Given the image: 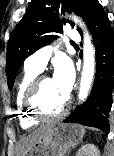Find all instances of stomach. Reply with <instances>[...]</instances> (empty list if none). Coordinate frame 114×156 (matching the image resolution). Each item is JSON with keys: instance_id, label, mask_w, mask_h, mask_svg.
I'll return each instance as SVG.
<instances>
[{"instance_id": "obj_1", "label": "stomach", "mask_w": 114, "mask_h": 156, "mask_svg": "<svg viewBox=\"0 0 114 156\" xmlns=\"http://www.w3.org/2000/svg\"><path fill=\"white\" fill-rule=\"evenodd\" d=\"M84 134L85 129L80 125L54 124L34 143L26 156H66L82 141Z\"/></svg>"}]
</instances>
